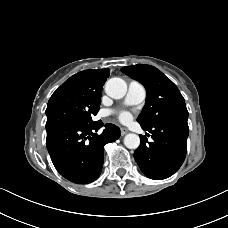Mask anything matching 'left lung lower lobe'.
Here are the masks:
<instances>
[{
    "instance_id": "1",
    "label": "left lung lower lobe",
    "mask_w": 228,
    "mask_h": 228,
    "mask_svg": "<svg viewBox=\"0 0 228 228\" xmlns=\"http://www.w3.org/2000/svg\"><path fill=\"white\" fill-rule=\"evenodd\" d=\"M187 119L181 117L167 120L152 128L141 126L152 134L153 141L148 142L145 136H140L141 143L134 152V158L147 177L165 179L181 167L187 152Z\"/></svg>"
}]
</instances>
